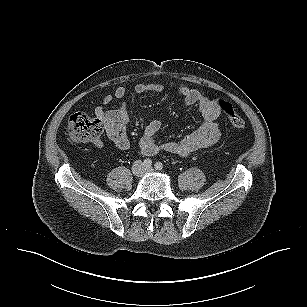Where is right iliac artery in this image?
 Listing matches in <instances>:
<instances>
[{
    "label": "right iliac artery",
    "mask_w": 307,
    "mask_h": 307,
    "mask_svg": "<svg viewBox=\"0 0 307 307\" xmlns=\"http://www.w3.org/2000/svg\"><path fill=\"white\" fill-rule=\"evenodd\" d=\"M143 165H144L146 168L151 167L152 161H151L150 159H145V160L143 161Z\"/></svg>",
    "instance_id": "right-iliac-artery-1"
}]
</instances>
